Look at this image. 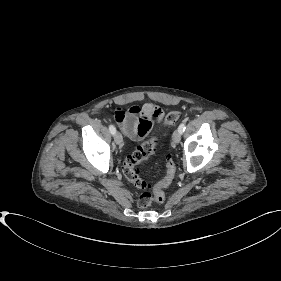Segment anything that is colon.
<instances>
[{"instance_id": "5ec220e1", "label": "colon", "mask_w": 281, "mask_h": 281, "mask_svg": "<svg viewBox=\"0 0 281 281\" xmlns=\"http://www.w3.org/2000/svg\"><path fill=\"white\" fill-rule=\"evenodd\" d=\"M136 106V105H134ZM132 106L129 110H135ZM126 112L119 109L115 112V119L121 118ZM181 118V113L178 111L170 112L164 121L166 126L175 125ZM159 144V137L157 135L151 136L141 146H139L132 154L128 155L123 162V174L126 179L135 187L144 192L139 196L137 204L141 208L150 206L153 202L162 203L165 199L164 189L167 188L173 181L176 166L171 157L165 160V175L154 185L148 184L144 181L137 166L148 160L157 150Z\"/></svg>"}]
</instances>
